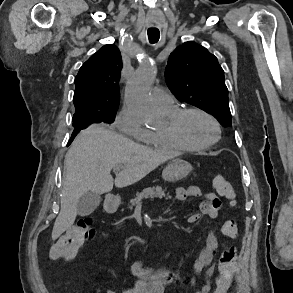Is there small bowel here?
<instances>
[{
    "label": "small bowel",
    "mask_w": 293,
    "mask_h": 293,
    "mask_svg": "<svg viewBox=\"0 0 293 293\" xmlns=\"http://www.w3.org/2000/svg\"><path fill=\"white\" fill-rule=\"evenodd\" d=\"M202 197L199 212L191 214L187 218L188 223L197 222L201 215H207L217 220L220 214L221 201L214 192H203L197 186L179 187L175 191V198L179 201H186L189 198ZM219 247L217 238V227L211 230L207 236L205 245L200 251L195 263L194 270L197 273L205 271V279L201 288L194 293H210L212 289V278L215 274V267L212 265L215 252ZM131 273L136 281L133 286L122 288L119 292L112 289H104L102 293H166L168 287L175 280V273L169 269H151L144 267L140 262H134L131 266ZM195 279L191 280L194 286Z\"/></svg>",
    "instance_id": "obj_1"
}]
</instances>
